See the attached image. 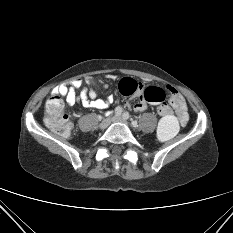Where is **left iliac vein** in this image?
<instances>
[{"label": "left iliac vein", "mask_w": 233, "mask_h": 233, "mask_svg": "<svg viewBox=\"0 0 233 233\" xmlns=\"http://www.w3.org/2000/svg\"><path fill=\"white\" fill-rule=\"evenodd\" d=\"M113 122H125V119H123V117L120 116H116L112 119Z\"/></svg>", "instance_id": "1"}]
</instances>
